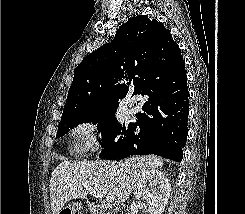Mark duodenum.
Wrapping results in <instances>:
<instances>
[{
	"label": "duodenum",
	"instance_id": "410a0bca",
	"mask_svg": "<svg viewBox=\"0 0 245 214\" xmlns=\"http://www.w3.org/2000/svg\"><path fill=\"white\" fill-rule=\"evenodd\" d=\"M93 214H128V210L120 205L101 206L95 202L88 203Z\"/></svg>",
	"mask_w": 245,
	"mask_h": 214
}]
</instances>
